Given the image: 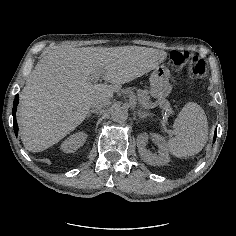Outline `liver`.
<instances>
[{
    "label": "liver",
    "instance_id": "6515ba94",
    "mask_svg": "<svg viewBox=\"0 0 236 236\" xmlns=\"http://www.w3.org/2000/svg\"><path fill=\"white\" fill-rule=\"evenodd\" d=\"M151 53L153 48L142 46H66L42 57L20 95L18 122L25 148L41 152L63 140L91 107L101 108L122 84L144 75ZM96 72L104 83L92 82Z\"/></svg>",
    "mask_w": 236,
    "mask_h": 236
}]
</instances>
